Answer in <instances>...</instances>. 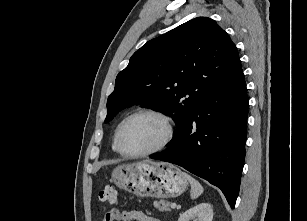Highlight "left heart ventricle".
<instances>
[{"mask_svg": "<svg viewBox=\"0 0 307 221\" xmlns=\"http://www.w3.org/2000/svg\"><path fill=\"white\" fill-rule=\"evenodd\" d=\"M165 135L163 123L156 117L142 115L127 126L122 146L128 153H141L157 146Z\"/></svg>", "mask_w": 307, "mask_h": 221, "instance_id": "obj_1", "label": "left heart ventricle"}]
</instances>
